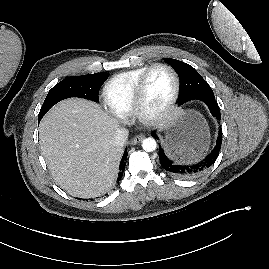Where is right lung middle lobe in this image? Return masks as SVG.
Listing matches in <instances>:
<instances>
[{"label":"right lung middle lobe","mask_w":269,"mask_h":269,"mask_svg":"<svg viewBox=\"0 0 269 269\" xmlns=\"http://www.w3.org/2000/svg\"><path fill=\"white\" fill-rule=\"evenodd\" d=\"M108 75V73L102 72L72 76L62 80L49 91L39 112L38 120L40 121L53 105L66 98L80 97L98 102L99 89Z\"/></svg>","instance_id":"1"}]
</instances>
